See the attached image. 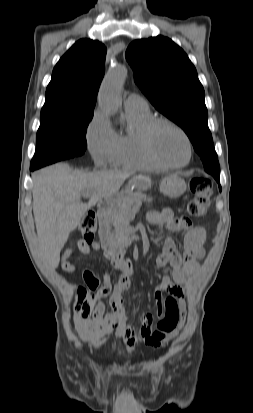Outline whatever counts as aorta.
Instances as JSON below:
<instances>
[{"instance_id":"obj_1","label":"aorta","mask_w":253,"mask_h":413,"mask_svg":"<svg viewBox=\"0 0 253 413\" xmlns=\"http://www.w3.org/2000/svg\"><path fill=\"white\" fill-rule=\"evenodd\" d=\"M127 76V68L116 65L105 76L98 97L99 107L108 112L116 113L121 106V88Z\"/></svg>"}]
</instances>
